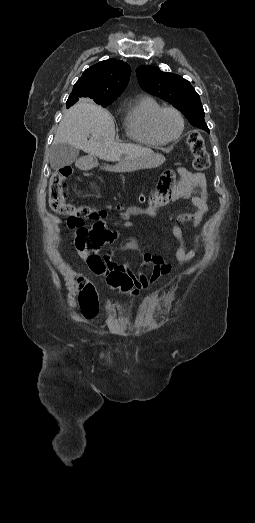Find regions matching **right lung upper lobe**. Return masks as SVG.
<instances>
[{"mask_svg": "<svg viewBox=\"0 0 255 523\" xmlns=\"http://www.w3.org/2000/svg\"><path fill=\"white\" fill-rule=\"evenodd\" d=\"M130 73V66L116 59L91 66L75 83L66 107L69 108L79 99L95 103L116 100L126 88Z\"/></svg>", "mask_w": 255, "mask_h": 523, "instance_id": "obj_1", "label": "right lung upper lobe"}]
</instances>
